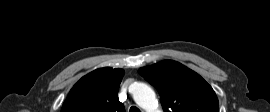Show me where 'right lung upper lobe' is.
Here are the masks:
<instances>
[{"label": "right lung upper lobe", "instance_id": "cb5924a9", "mask_svg": "<svg viewBox=\"0 0 270 112\" xmlns=\"http://www.w3.org/2000/svg\"><path fill=\"white\" fill-rule=\"evenodd\" d=\"M122 69L100 68L82 77L69 92L61 112H125L118 90Z\"/></svg>", "mask_w": 270, "mask_h": 112}]
</instances>
